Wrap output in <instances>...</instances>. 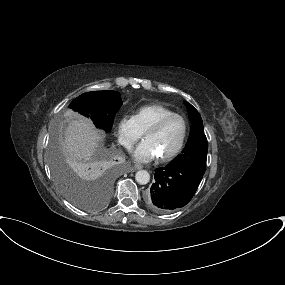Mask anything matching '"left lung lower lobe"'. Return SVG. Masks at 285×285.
<instances>
[{
	"mask_svg": "<svg viewBox=\"0 0 285 285\" xmlns=\"http://www.w3.org/2000/svg\"><path fill=\"white\" fill-rule=\"evenodd\" d=\"M155 183L147 194L150 209L166 213L185 206L195 194L203 175L184 167L168 164L154 173Z\"/></svg>",
	"mask_w": 285,
	"mask_h": 285,
	"instance_id": "0a47b994",
	"label": "left lung lower lobe"
}]
</instances>
